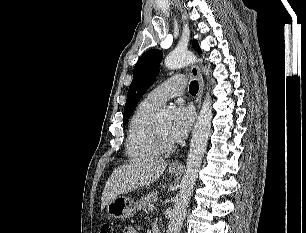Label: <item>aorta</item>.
I'll list each match as a JSON object with an SVG mask.
<instances>
[{
	"instance_id": "obj_1",
	"label": "aorta",
	"mask_w": 306,
	"mask_h": 233,
	"mask_svg": "<svg viewBox=\"0 0 306 233\" xmlns=\"http://www.w3.org/2000/svg\"><path fill=\"white\" fill-rule=\"evenodd\" d=\"M198 62L195 55L187 50H174L165 58V66L168 69H178ZM202 71L209 76L210 70L202 67ZM168 117L166 112L158 115L160 121ZM212 107L210 95L207 93L202 104L196 124L192 132L190 148L186 161L185 172L181 181L180 192L175 197L173 213L169 221L166 233H180L185 218L188 203L193 193L194 185L207 147L211 130Z\"/></svg>"
}]
</instances>
